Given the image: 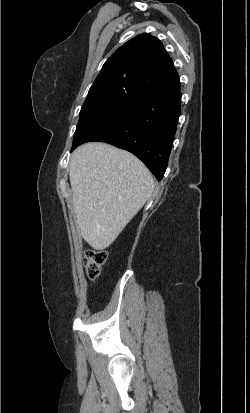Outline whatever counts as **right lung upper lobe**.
Wrapping results in <instances>:
<instances>
[{
  "label": "right lung upper lobe",
  "mask_w": 250,
  "mask_h": 413,
  "mask_svg": "<svg viewBox=\"0 0 250 413\" xmlns=\"http://www.w3.org/2000/svg\"><path fill=\"white\" fill-rule=\"evenodd\" d=\"M115 86L141 95L180 86L173 62L158 38L140 34L104 63L91 88Z\"/></svg>",
  "instance_id": "cb5924a9"
}]
</instances>
